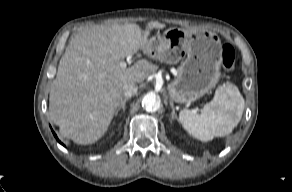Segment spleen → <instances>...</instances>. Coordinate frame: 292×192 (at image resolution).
I'll use <instances>...</instances> for the list:
<instances>
[{"label":"spleen","mask_w":292,"mask_h":192,"mask_svg":"<svg viewBox=\"0 0 292 192\" xmlns=\"http://www.w3.org/2000/svg\"><path fill=\"white\" fill-rule=\"evenodd\" d=\"M244 105L237 86L227 83L216 89L213 100L204 105L200 114L193 110H182L179 122L196 139L210 141L232 132L241 120Z\"/></svg>","instance_id":"3e777b00"}]
</instances>
